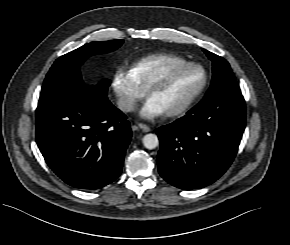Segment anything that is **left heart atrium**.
<instances>
[{
	"instance_id": "obj_1",
	"label": "left heart atrium",
	"mask_w": 290,
	"mask_h": 245,
	"mask_svg": "<svg viewBox=\"0 0 290 245\" xmlns=\"http://www.w3.org/2000/svg\"><path fill=\"white\" fill-rule=\"evenodd\" d=\"M164 113L163 107L152 97H149L140 109V116L144 119H155Z\"/></svg>"
}]
</instances>
